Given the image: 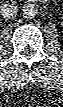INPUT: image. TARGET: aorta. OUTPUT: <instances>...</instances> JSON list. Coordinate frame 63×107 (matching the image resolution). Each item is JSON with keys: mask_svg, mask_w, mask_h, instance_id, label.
I'll use <instances>...</instances> for the list:
<instances>
[{"mask_svg": "<svg viewBox=\"0 0 63 107\" xmlns=\"http://www.w3.org/2000/svg\"><path fill=\"white\" fill-rule=\"evenodd\" d=\"M22 14L25 18L32 19L38 14V9L34 4H25L22 8Z\"/></svg>", "mask_w": 63, "mask_h": 107, "instance_id": "aorta-1", "label": "aorta"}]
</instances>
